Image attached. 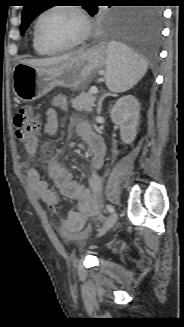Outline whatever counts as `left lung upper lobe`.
I'll use <instances>...</instances> for the list:
<instances>
[{
	"instance_id": "left-lung-upper-lobe-1",
	"label": "left lung upper lobe",
	"mask_w": 184,
	"mask_h": 327,
	"mask_svg": "<svg viewBox=\"0 0 184 327\" xmlns=\"http://www.w3.org/2000/svg\"><path fill=\"white\" fill-rule=\"evenodd\" d=\"M48 1L46 0H28L27 4L24 6L22 12V24H21V35L24 34L25 30L28 28L29 24L33 19L38 16L41 12L48 9ZM85 10L91 16H97L104 27L119 30L125 26L135 12H124L121 10H111L107 12H100L98 6L87 5L84 6Z\"/></svg>"
}]
</instances>
